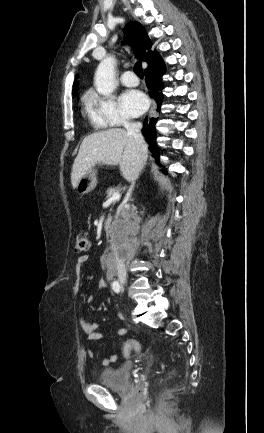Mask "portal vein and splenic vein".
I'll return each instance as SVG.
<instances>
[{
    "mask_svg": "<svg viewBox=\"0 0 264 433\" xmlns=\"http://www.w3.org/2000/svg\"><path fill=\"white\" fill-rule=\"evenodd\" d=\"M121 198V195L119 192H115L112 194V196L108 199L109 201H117Z\"/></svg>",
    "mask_w": 264,
    "mask_h": 433,
    "instance_id": "portal-vein-and-splenic-vein-1",
    "label": "portal vein and splenic vein"
}]
</instances>
